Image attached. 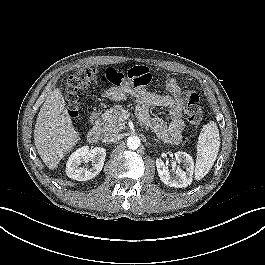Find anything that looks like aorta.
<instances>
[{"instance_id":"aorta-1","label":"aorta","mask_w":265,"mask_h":265,"mask_svg":"<svg viewBox=\"0 0 265 265\" xmlns=\"http://www.w3.org/2000/svg\"><path fill=\"white\" fill-rule=\"evenodd\" d=\"M127 146L131 150H136L140 146V139L137 136H130L127 139Z\"/></svg>"}]
</instances>
